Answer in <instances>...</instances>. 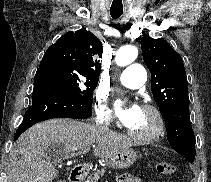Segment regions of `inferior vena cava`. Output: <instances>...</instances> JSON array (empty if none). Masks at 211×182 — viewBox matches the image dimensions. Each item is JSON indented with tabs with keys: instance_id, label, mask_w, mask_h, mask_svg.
Returning a JSON list of instances; mask_svg holds the SVG:
<instances>
[{
	"instance_id": "602c4592",
	"label": "inferior vena cava",
	"mask_w": 211,
	"mask_h": 182,
	"mask_svg": "<svg viewBox=\"0 0 211 182\" xmlns=\"http://www.w3.org/2000/svg\"><path fill=\"white\" fill-rule=\"evenodd\" d=\"M96 126H99V127L105 128V129H108L106 124H104V125L96 124Z\"/></svg>"
}]
</instances>
